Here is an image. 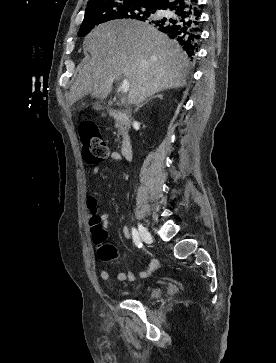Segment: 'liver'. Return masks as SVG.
<instances>
[{"instance_id": "1", "label": "liver", "mask_w": 276, "mask_h": 363, "mask_svg": "<svg viewBox=\"0 0 276 363\" xmlns=\"http://www.w3.org/2000/svg\"><path fill=\"white\" fill-rule=\"evenodd\" d=\"M91 58L82 63L69 103L86 95L104 100L115 80L130 83L128 103L138 105L157 92L186 84L190 63L179 45L147 23L122 19L99 25L84 39Z\"/></svg>"}]
</instances>
